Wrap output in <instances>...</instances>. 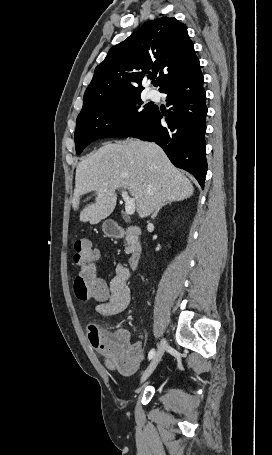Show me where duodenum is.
I'll return each mask as SVG.
<instances>
[{
    "label": "duodenum",
    "instance_id": "obj_1",
    "mask_svg": "<svg viewBox=\"0 0 272 455\" xmlns=\"http://www.w3.org/2000/svg\"><path fill=\"white\" fill-rule=\"evenodd\" d=\"M107 232L111 237L114 238H123L125 236H128L132 240L128 263L132 269H136L141 258V248L137 243V239L140 235L139 227L132 226L128 229H124L122 226L116 223H111L108 225Z\"/></svg>",
    "mask_w": 272,
    "mask_h": 455
}]
</instances>
